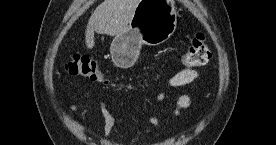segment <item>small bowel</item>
Listing matches in <instances>:
<instances>
[{"instance_id": "c3829d8e", "label": "small bowel", "mask_w": 276, "mask_h": 145, "mask_svg": "<svg viewBox=\"0 0 276 145\" xmlns=\"http://www.w3.org/2000/svg\"><path fill=\"white\" fill-rule=\"evenodd\" d=\"M199 76L198 71L193 69H184L178 72L173 78L170 79L169 85L172 87H183L191 82H193L195 79H197ZM91 96L88 93H81L77 95L68 105V109L71 114L78 115L81 120H84L86 118L87 113L93 106V104L86 105L81 111L78 109V102L83 99H90ZM159 99L162 101L164 100V95H160ZM190 105V98L187 95H181L177 99L176 102V112L178 113L181 109H185ZM103 118H104V135L106 138H110L114 128H115V117L109 108V106L105 103H99L98 104ZM120 108H124L122 104H119ZM144 114V113H143ZM151 125L156 128L159 125V120L157 117L152 115H147ZM149 131H141L138 132V136H142Z\"/></svg>"}]
</instances>
